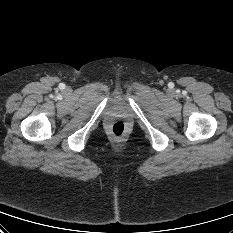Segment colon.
<instances>
[{
    "instance_id": "1",
    "label": "colon",
    "mask_w": 233,
    "mask_h": 233,
    "mask_svg": "<svg viewBox=\"0 0 233 233\" xmlns=\"http://www.w3.org/2000/svg\"><path fill=\"white\" fill-rule=\"evenodd\" d=\"M126 132V124L123 121H116L111 126V133L116 137H122Z\"/></svg>"
}]
</instances>
